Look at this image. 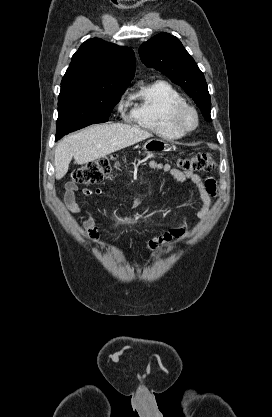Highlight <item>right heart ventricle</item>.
<instances>
[{"label":"right heart ventricle","instance_id":"right-heart-ventricle-1","mask_svg":"<svg viewBox=\"0 0 272 417\" xmlns=\"http://www.w3.org/2000/svg\"><path fill=\"white\" fill-rule=\"evenodd\" d=\"M129 120L162 138L178 139L183 136L171 123L175 106L185 103L183 96L164 80L144 84L133 94Z\"/></svg>","mask_w":272,"mask_h":417}]
</instances>
